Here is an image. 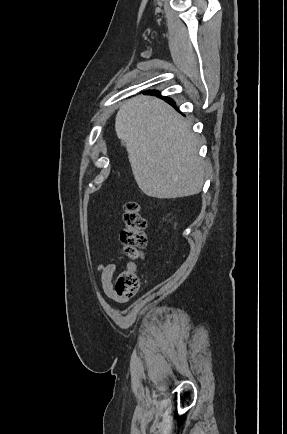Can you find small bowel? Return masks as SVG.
<instances>
[{
    "label": "small bowel",
    "mask_w": 287,
    "mask_h": 434,
    "mask_svg": "<svg viewBox=\"0 0 287 434\" xmlns=\"http://www.w3.org/2000/svg\"><path fill=\"white\" fill-rule=\"evenodd\" d=\"M98 270L100 273V283L101 287L103 289V292L107 297L110 299L117 301V302H123L125 301L124 298L118 297L113 289V276L117 271V264L116 263H101L98 266Z\"/></svg>",
    "instance_id": "small-bowel-1"
}]
</instances>
